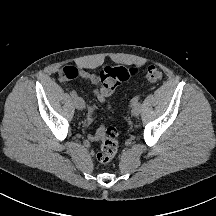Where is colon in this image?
I'll list each match as a JSON object with an SVG mask.
<instances>
[{
  "label": "colon",
  "mask_w": 216,
  "mask_h": 216,
  "mask_svg": "<svg viewBox=\"0 0 216 216\" xmlns=\"http://www.w3.org/2000/svg\"><path fill=\"white\" fill-rule=\"evenodd\" d=\"M137 73L134 67L107 66L99 74V81L102 89L107 93H112L122 82L128 80ZM60 77L63 80H71L78 77V70L72 66L61 69ZM163 77L162 71L156 66H150L146 71V78L151 82H159ZM119 133L113 126L101 127L97 134L100 142L96 159L101 164L109 163L116 155L119 145Z\"/></svg>",
  "instance_id": "colon-1"
}]
</instances>
